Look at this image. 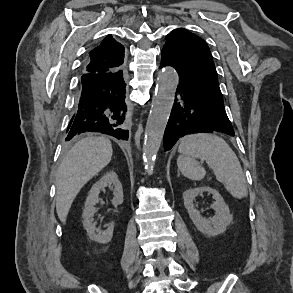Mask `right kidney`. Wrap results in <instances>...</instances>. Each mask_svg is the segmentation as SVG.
<instances>
[{
  "instance_id": "1",
  "label": "right kidney",
  "mask_w": 293,
  "mask_h": 293,
  "mask_svg": "<svg viewBox=\"0 0 293 293\" xmlns=\"http://www.w3.org/2000/svg\"><path fill=\"white\" fill-rule=\"evenodd\" d=\"M112 187L114 197L112 204L114 206L123 203V189L115 172L106 173L99 181H97L91 188L88 197L85 202V208L83 210V226L87 231L89 238L95 242L106 244L110 242L113 236L114 223H110L107 230L100 231L96 228L94 222V214L96 212L95 205L99 202V194L105 187Z\"/></svg>"
}]
</instances>
